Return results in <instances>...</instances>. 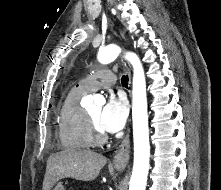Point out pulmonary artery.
Returning <instances> with one entry per match:
<instances>
[{
    "mask_svg": "<svg viewBox=\"0 0 221 190\" xmlns=\"http://www.w3.org/2000/svg\"><path fill=\"white\" fill-rule=\"evenodd\" d=\"M115 83L116 76L108 69L95 71L79 82L87 92L96 91L100 87H110Z\"/></svg>",
    "mask_w": 221,
    "mask_h": 190,
    "instance_id": "e3ab8cb5",
    "label": "pulmonary artery"
}]
</instances>
